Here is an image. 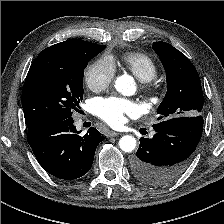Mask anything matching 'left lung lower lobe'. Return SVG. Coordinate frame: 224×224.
Instances as JSON below:
<instances>
[{
  "instance_id": "left-lung-lower-lobe-1",
  "label": "left lung lower lobe",
  "mask_w": 224,
  "mask_h": 224,
  "mask_svg": "<svg viewBox=\"0 0 224 224\" xmlns=\"http://www.w3.org/2000/svg\"><path fill=\"white\" fill-rule=\"evenodd\" d=\"M153 138H140L132 160L135 177L153 186L169 184L190 164L203 130V117L181 116L153 125Z\"/></svg>"
}]
</instances>
